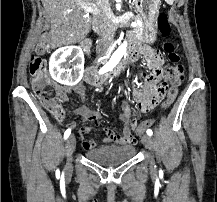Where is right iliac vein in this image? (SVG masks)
I'll return each mask as SVG.
<instances>
[{
    "label": "right iliac vein",
    "mask_w": 217,
    "mask_h": 202,
    "mask_svg": "<svg viewBox=\"0 0 217 202\" xmlns=\"http://www.w3.org/2000/svg\"><path fill=\"white\" fill-rule=\"evenodd\" d=\"M76 147V140L74 136H70L67 141H66V145H65V151H66V156H67V160H68V166H71V159H72V154L75 150Z\"/></svg>",
    "instance_id": "63e3f726"
}]
</instances>
